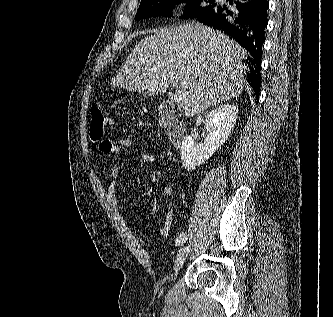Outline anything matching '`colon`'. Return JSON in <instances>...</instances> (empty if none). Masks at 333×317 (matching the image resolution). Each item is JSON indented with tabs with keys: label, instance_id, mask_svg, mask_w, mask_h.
<instances>
[{
	"label": "colon",
	"instance_id": "1",
	"mask_svg": "<svg viewBox=\"0 0 333 317\" xmlns=\"http://www.w3.org/2000/svg\"><path fill=\"white\" fill-rule=\"evenodd\" d=\"M112 123V118L105 114L101 106L91 109L90 137L94 143H99L103 137L105 126Z\"/></svg>",
	"mask_w": 333,
	"mask_h": 317
}]
</instances>
